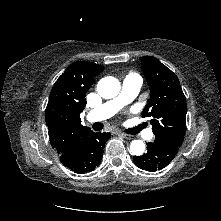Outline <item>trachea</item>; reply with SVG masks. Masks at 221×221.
<instances>
[{"label": "trachea", "mask_w": 221, "mask_h": 221, "mask_svg": "<svg viewBox=\"0 0 221 221\" xmlns=\"http://www.w3.org/2000/svg\"><path fill=\"white\" fill-rule=\"evenodd\" d=\"M93 128H94L95 130H101V129L103 128V126H102L101 123H95V124L93 125ZM138 130H140V128H137V129L134 130L132 133H131V132H129V133H130V134H135V133L138 132Z\"/></svg>", "instance_id": "3493384b"}]
</instances>
